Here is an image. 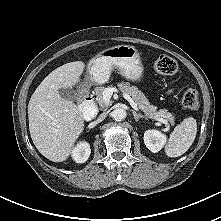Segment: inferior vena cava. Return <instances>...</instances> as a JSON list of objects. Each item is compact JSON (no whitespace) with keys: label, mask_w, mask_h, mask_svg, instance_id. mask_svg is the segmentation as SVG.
Returning a JSON list of instances; mask_svg holds the SVG:
<instances>
[{"label":"inferior vena cava","mask_w":221,"mask_h":221,"mask_svg":"<svg viewBox=\"0 0 221 221\" xmlns=\"http://www.w3.org/2000/svg\"><path fill=\"white\" fill-rule=\"evenodd\" d=\"M105 117H106V114H105V113H102V114L98 117L97 121H98V122H101L102 120H104Z\"/></svg>","instance_id":"1"}]
</instances>
